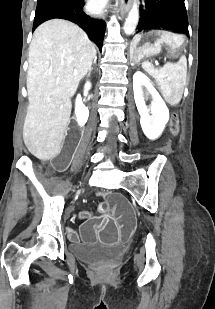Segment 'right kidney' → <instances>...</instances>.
<instances>
[{"instance_id": "ca27d5eb", "label": "right kidney", "mask_w": 215, "mask_h": 309, "mask_svg": "<svg viewBox=\"0 0 215 309\" xmlns=\"http://www.w3.org/2000/svg\"><path fill=\"white\" fill-rule=\"evenodd\" d=\"M85 88H86V90H89V88H91V82H89V80H87V82H85ZM76 106H79V112H77V110H75V114L77 116L78 124H81V126H83V124H85V122H87V120H88L89 110H88L87 106H85V104H83V100H82L80 94H78V96L76 98Z\"/></svg>"}]
</instances>
